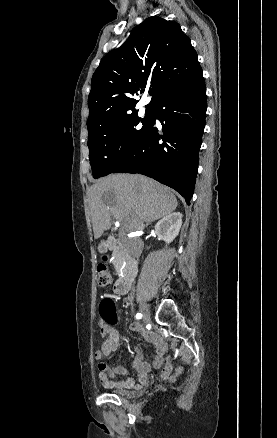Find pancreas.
I'll list each match as a JSON object with an SVG mask.
<instances>
[{"mask_svg":"<svg viewBox=\"0 0 277 438\" xmlns=\"http://www.w3.org/2000/svg\"><path fill=\"white\" fill-rule=\"evenodd\" d=\"M98 244H109L110 245V242L107 239H101V240H99ZM112 257L114 258L113 264L115 267H122L123 266L124 261L122 258H120L121 254L118 251H115L112 254Z\"/></svg>","mask_w":277,"mask_h":438,"instance_id":"1","label":"pancreas"}]
</instances>
